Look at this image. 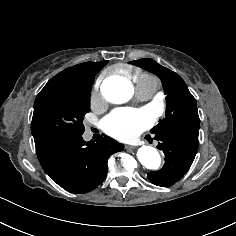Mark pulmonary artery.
I'll return each mask as SVG.
<instances>
[{
	"instance_id": "1",
	"label": "pulmonary artery",
	"mask_w": 236,
	"mask_h": 236,
	"mask_svg": "<svg viewBox=\"0 0 236 236\" xmlns=\"http://www.w3.org/2000/svg\"><path fill=\"white\" fill-rule=\"evenodd\" d=\"M155 90L153 89H147V88H137L136 89V95L138 98L146 100L152 97Z\"/></svg>"
}]
</instances>
